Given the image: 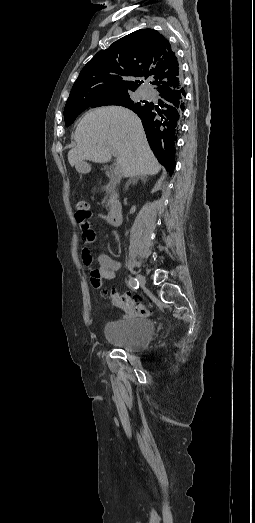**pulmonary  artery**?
I'll list each match as a JSON object with an SVG mask.
<instances>
[{
  "instance_id": "e3ab8cb5",
  "label": "pulmonary artery",
  "mask_w": 255,
  "mask_h": 523,
  "mask_svg": "<svg viewBox=\"0 0 255 523\" xmlns=\"http://www.w3.org/2000/svg\"><path fill=\"white\" fill-rule=\"evenodd\" d=\"M151 94H152V92L149 91V90H144V91L142 92V95H143V97H145V98L149 97Z\"/></svg>"
}]
</instances>
